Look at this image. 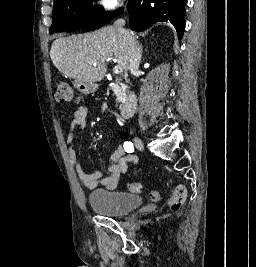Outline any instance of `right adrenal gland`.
I'll return each mask as SVG.
<instances>
[{
    "mask_svg": "<svg viewBox=\"0 0 256 267\" xmlns=\"http://www.w3.org/2000/svg\"><path fill=\"white\" fill-rule=\"evenodd\" d=\"M140 52H141V54H142V52H143L141 44H140Z\"/></svg>",
    "mask_w": 256,
    "mask_h": 267,
    "instance_id": "obj_1",
    "label": "right adrenal gland"
}]
</instances>
